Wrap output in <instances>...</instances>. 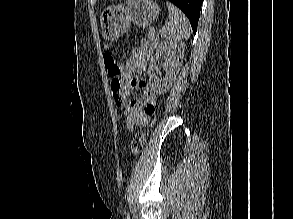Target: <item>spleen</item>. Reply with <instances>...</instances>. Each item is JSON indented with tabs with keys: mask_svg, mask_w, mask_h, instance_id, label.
I'll return each mask as SVG.
<instances>
[{
	"mask_svg": "<svg viewBox=\"0 0 293 219\" xmlns=\"http://www.w3.org/2000/svg\"><path fill=\"white\" fill-rule=\"evenodd\" d=\"M166 4L169 10V21L160 30L161 36L174 42L189 39L190 24L188 19L173 4L170 2Z\"/></svg>",
	"mask_w": 293,
	"mask_h": 219,
	"instance_id": "1",
	"label": "spleen"
}]
</instances>
